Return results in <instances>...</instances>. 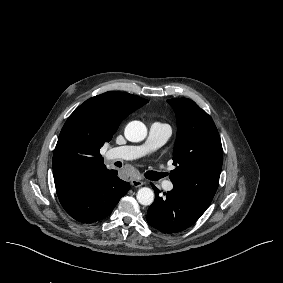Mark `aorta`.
I'll use <instances>...</instances> for the list:
<instances>
[{
	"label": "aorta",
	"instance_id": "1",
	"mask_svg": "<svg viewBox=\"0 0 283 283\" xmlns=\"http://www.w3.org/2000/svg\"><path fill=\"white\" fill-rule=\"evenodd\" d=\"M124 135L130 142H140L146 138L147 128L140 121H131L125 127ZM136 198L141 205H151L154 201V192L148 187H142L138 190Z\"/></svg>",
	"mask_w": 283,
	"mask_h": 283
}]
</instances>
